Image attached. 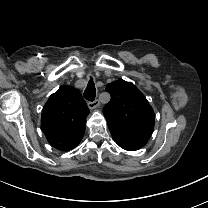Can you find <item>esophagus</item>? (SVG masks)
<instances>
[{"label":"esophagus","mask_w":208,"mask_h":208,"mask_svg":"<svg viewBox=\"0 0 208 208\" xmlns=\"http://www.w3.org/2000/svg\"><path fill=\"white\" fill-rule=\"evenodd\" d=\"M99 104H100V101H99V100H95V101H93V102H88V103H87L89 109H94V108H96Z\"/></svg>","instance_id":"esophagus-1"}]
</instances>
